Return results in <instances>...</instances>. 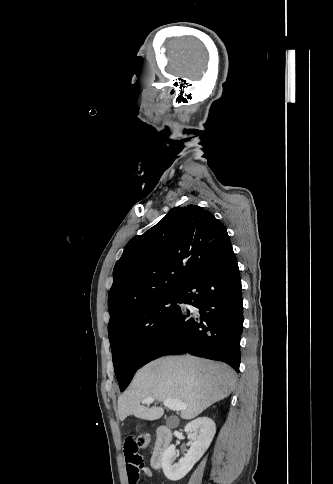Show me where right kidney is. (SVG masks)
<instances>
[{
    "label": "right kidney",
    "mask_w": 333,
    "mask_h": 484,
    "mask_svg": "<svg viewBox=\"0 0 333 484\" xmlns=\"http://www.w3.org/2000/svg\"><path fill=\"white\" fill-rule=\"evenodd\" d=\"M191 447L185 457L173 464L176 458L175 445H170L162 457V469L171 481L182 479L206 452L216 432L214 421L208 417L197 418L185 426Z\"/></svg>",
    "instance_id": "1"
}]
</instances>
